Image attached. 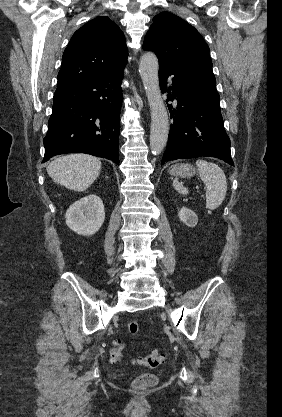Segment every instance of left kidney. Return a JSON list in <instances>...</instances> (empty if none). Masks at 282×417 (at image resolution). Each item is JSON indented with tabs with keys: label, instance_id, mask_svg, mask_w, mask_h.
Here are the masks:
<instances>
[{
	"label": "left kidney",
	"instance_id": "1",
	"mask_svg": "<svg viewBox=\"0 0 282 417\" xmlns=\"http://www.w3.org/2000/svg\"><path fill=\"white\" fill-rule=\"evenodd\" d=\"M178 217L184 225H187V227H196L198 223L197 215H195L194 211H191V209H187V206H182V209H180L178 213Z\"/></svg>",
	"mask_w": 282,
	"mask_h": 417
}]
</instances>
